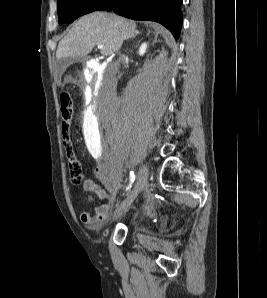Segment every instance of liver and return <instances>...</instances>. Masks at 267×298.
<instances>
[{"label": "liver", "mask_w": 267, "mask_h": 298, "mask_svg": "<svg viewBox=\"0 0 267 298\" xmlns=\"http://www.w3.org/2000/svg\"><path fill=\"white\" fill-rule=\"evenodd\" d=\"M136 23L106 12H93L81 17L60 41L56 58H75L88 55L96 45H103L100 53L111 56L123 41L131 38Z\"/></svg>", "instance_id": "liver-1"}]
</instances>
